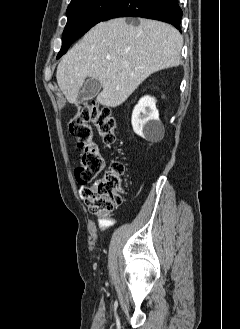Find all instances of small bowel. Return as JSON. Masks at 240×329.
Segmentation results:
<instances>
[{
    "label": "small bowel",
    "mask_w": 240,
    "mask_h": 329,
    "mask_svg": "<svg viewBox=\"0 0 240 329\" xmlns=\"http://www.w3.org/2000/svg\"><path fill=\"white\" fill-rule=\"evenodd\" d=\"M83 190H84V188L82 187V188L80 189V194L83 193ZM113 225H114V222L111 221V220H103V221H100V222L98 223V226H99V228L101 229V231H105V230L111 228Z\"/></svg>",
    "instance_id": "c3829d8e"
}]
</instances>
